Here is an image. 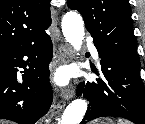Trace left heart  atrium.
<instances>
[{"label":"left heart atrium","mask_w":145,"mask_h":124,"mask_svg":"<svg viewBox=\"0 0 145 124\" xmlns=\"http://www.w3.org/2000/svg\"><path fill=\"white\" fill-rule=\"evenodd\" d=\"M58 80H59L60 82H64V81L66 80L65 75H64V74H60L59 77H58Z\"/></svg>","instance_id":"left-heart-atrium-1"}]
</instances>
